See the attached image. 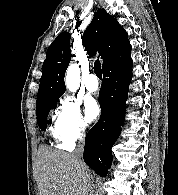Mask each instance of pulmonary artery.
Returning <instances> with one entry per match:
<instances>
[{"instance_id": "e3ab8cb5", "label": "pulmonary artery", "mask_w": 178, "mask_h": 195, "mask_svg": "<svg viewBox=\"0 0 178 195\" xmlns=\"http://www.w3.org/2000/svg\"><path fill=\"white\" fill-rule=\"evenodd\" d=\"M85 87L89 92H96L99 89V82L95 74H89L87 76Z\"/></svg>"}]
</instances>
